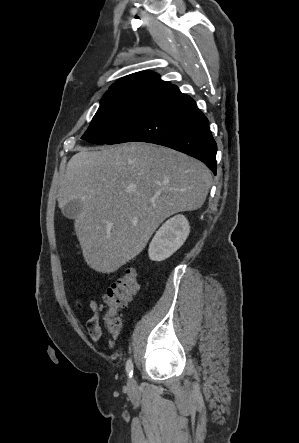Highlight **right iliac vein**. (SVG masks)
Here are the masks:
<instances>
[{
  "label": "right iliac vein",
  "instance_id": "obj_1",
  "mask_svg": "<svg viewBox=\"0 0 299 443\" xmlns=\"http://www.w3.org/2000/svg\"><path fill=\"white\" fill-rule=\"evenodd\" d=\"M128 385H129L130 388H134V386H135L134 379H130L129 382H128Z\"/></svg>",
  "mask_w": 299,
  "mask_h": 443
}]
</instances>
